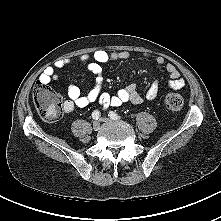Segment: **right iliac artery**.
Instances as JSON below:
<instances>
[{"label":"right iliac artery","instance_id":"82829eb1","mask_svg":"<svg viewBox=\"0 0 221 221\" xmlns=\"http://www.w3.org/2000/svg\"><path fill=\"white\" fill-rule=\"evenodd\" d=\"M100 117V112L95 110L93 113H92V118L95 119V120H98Z\"/></svg>","mask_w":221,"mask_h":221}]
</instances>
